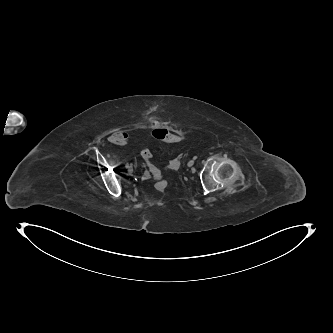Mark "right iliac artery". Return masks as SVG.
<instances>
[{
  "instance_id": "obj_1",
  "label": "right iliac artery",
  "mask_w": 333,
  "mask_h": 333,
  "mask_svg": "<svg viewBox=\"0 0 333 333\" xmlns=\"http://www.w3.org/2000/svg\"><path fill=\"white\" fill-rule=\"evenodd\" d=\"M126 168L129 169L131 166H129V163L126 164Z\"/></svg>"
}]
</instances>
